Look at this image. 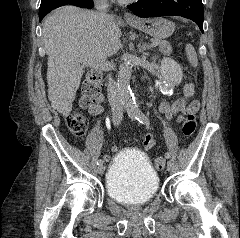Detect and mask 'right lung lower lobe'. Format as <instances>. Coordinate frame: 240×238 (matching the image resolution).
Segmentation results:
<instances>
[{
  "mask_svg": "<svg viewBox=\"0 0 240 238\" xmlns=\"http://www.w3.org/2000/svg\"><path fill=\"white\" fill-rule=\"evenodd\" d=\"M91 2H92V0H67V1L59 0L54 5H52L46 12L39 14V19L41 21L43 19V17L45 15H47L50 11H52L53 9L58 8L60 6L66 5V4L79 6V7H83V8H93L94 5L91 4Z\"/></svg>",
  "mask_w": 240,
  "mask_h": 238,
  "instance_id": "1",
  "label": "right lung lower lobe"
}]
</instances>
